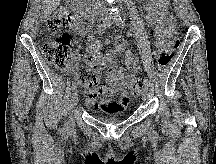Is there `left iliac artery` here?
<instances>
[{"label": "left iliac artery", "instance_id": "obj_1", "mask_svg": "<svg viewBox=\"0 0 216 164\" xmlns=\"http://www.w3.org/2000/svg\"><path fill=\"white\" fill-rule=\"evenodd\" d=\"M114 21H115V23L117 25H123V23H124V19H122V17H120V16L115 18ZM144 84L147 85V86L149 84V81H148V79L146 77L144 78Z\"/></svg>", "mask_w": 216, "mask_h": 164}]
</instances>
